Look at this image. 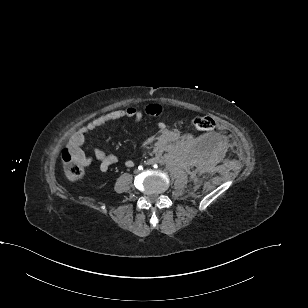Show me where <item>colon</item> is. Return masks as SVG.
Instances as JSON below:
<instances>
[{
    "mask_svg": "<svg viewBox=\"0 0 308 308\" xmlns=\"http://www.w3.org/2000/svg\"><path fill=\"white\" fill-rule=\"evenodd\" d=\"M192 124L199 131H211L215 127V121L208 115H195ZM62 160L65 174L70 180H77L83 176L84 164L75 159L68 149L63 152Z\"/></svg>",
    "mask_w": 308,
    "mask_h": 308,
    "instance_id": "5ec220e1",
    "label": "colon"
}]
</instances>
